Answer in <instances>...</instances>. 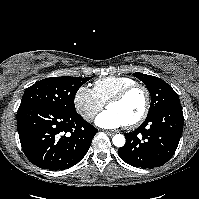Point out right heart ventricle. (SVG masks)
<instances>
[{
    "instance_id": "right-heart-ventricle-1",
    "label": "right heart ventricle",
    "mask_w": 199,
    "mask_h": 199,
    "mask_svg": "<svg viewBox=\"0 0 199 199\" xmlns=\"http://www.w3.org/2000/svg\"><path fill=\"white\" fill-rule=\"evenodd\" d=\"M136 83L133 79L120 76H109L98 79L93 84V92L97 98L106 104L123 88Z\"/></svg>"
}]
</instances>
